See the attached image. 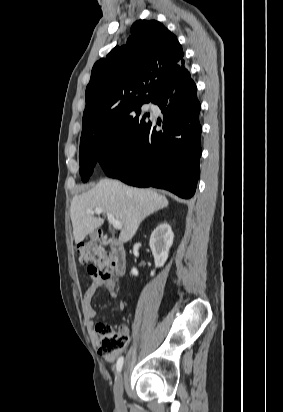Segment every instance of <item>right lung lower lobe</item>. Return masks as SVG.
I'll return each instance as SVG.
<instances>
[{
    "mask_svg": "<svg viewBox=\"0 0 283 412\" xmlns=\"http://www.w3.org/2000/svg\"><path fill=\"white\" fill-rule=\"evenodd\" d=\"M154 104L163 113V130L149 121L128 153L103 169L129 185L163 188L190 198L196 190L202 153L196 85L190 77L183 83L173 82Z\"/></svg>",
    "mask_w": 283,
    "mask_h": 412,
    "instance_id": "obj_1",
    "label": "right lung lower lobe"
}]
</instances>
